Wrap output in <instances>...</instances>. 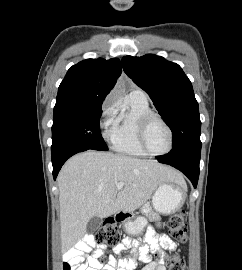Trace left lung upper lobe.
Returning a JSON list of instances; mask_svg holds the SVG:
<instances>
[{
	"mask_svg": "<svg viewBox=\"0 0 242 270\" xmlns=\"http://www.w3.org/2000/svg\"><path fill=\"white\" fill-rule=\"evenodd\" d=\"M125 73L148 93L173 134V146L164 157L201 149L198 102L181 67L163 57L147 54L122 58Z\"/></svg>",
	"mask_w": 242,
	"mask_h": 270,
	"instance_id": "1",
	"label": "left lung upper lobe"
}]
</instances>
